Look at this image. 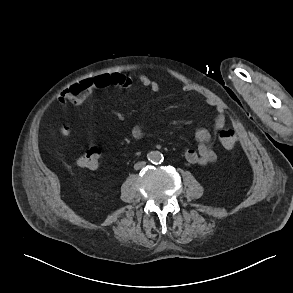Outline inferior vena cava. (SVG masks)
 Masks as SVG:
<instances>
[{"mask_svg": "<svg viewBox=\"0 0 293 293\" xmlns=\"http://www.w3.org/2000/svg\"><path fill=\"white\" fill-rule=\"evenodd\" d=\"M145 165H146V162H145V161L138 162V163H136V164L134 165V168H135L136 170H138V169L143 168Z\"/></svg>", "mask_w": 293, "mask_h": 293, "instance_id": "602c4592", "label": "inferior vena cava"}]
</instances>
